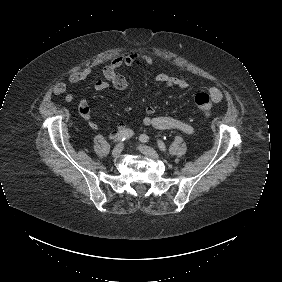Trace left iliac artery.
I'll return each instance as SVG.
<instances>
[{"instance_id":"left-iliac-artery-1","label":"left iliac artery","mask_w":282,"mask_h":282,"mask_svg":"<svg viewBox=\"0 0 282 282\" xmlns=\"http://www.w3.org/2000/svg\"><path fill=\"white\" fill-rule=\"evenodd\" d=\"M139 140L141 142H148L149 141V137L146 134H142V135H140ZM157 144H158V147H159V149L161 151H166V146H165V144L161 140H158Z\"/></svg>"}]
</instances>
